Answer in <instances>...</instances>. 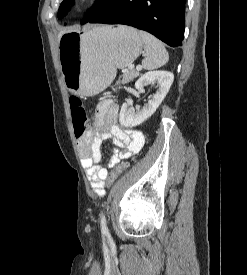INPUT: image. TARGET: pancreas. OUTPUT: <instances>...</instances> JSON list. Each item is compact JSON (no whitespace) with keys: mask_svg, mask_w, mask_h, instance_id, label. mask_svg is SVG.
Listing matches in <instances>:
<instances>
[{"mask_svg":"<svg viewBox=\"0 0 247 275\" xmlns=\"http://www.w3.org/2000/svg\"><path fill=\"white\" fill-rule=\"evenodd\" d=\"M138 76H139V72L136 70L127 71L126 73H124L122 75L121 82L123 84L129 83L130 81H132L134 78H136Z\"/></svg>","mask_w":247,"mask_h":275,"instance_id":"obj_1","label":"pancreas"}]
</instances>
